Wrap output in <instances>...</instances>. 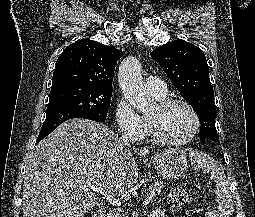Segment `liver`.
I'll return each mask as SVG.
<instances>
[{
    "label": "liver",
    "instance_id": "1",
    "mask_svg": "<svg viewBox=\"0 0 255 217\" xmlns=\"http://www.w3.org/2000/svg\"><path fill=\"white\" fill-rule=\"evenodd\" d=\"M149 153V147L137 150L140 156ZM199 154L190 150L192 158ZM138 176L136 161L117 134L91 120H68L31 154L23 184V217H84L96 204L91 186L120 195Z\"/></svg>",
    "mask_w": 255,
    "mask_h": 217
}]
</instances>
